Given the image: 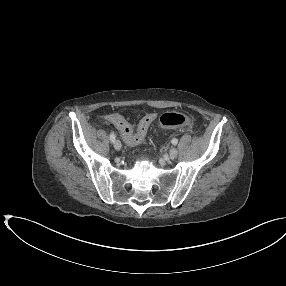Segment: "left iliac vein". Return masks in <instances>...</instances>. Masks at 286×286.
<instances>
[{"mask_svg":"<svg viewBox=\"0 0 286 286\" xmlns=\"http://www.w3.org/2000/svg\"><path fill=\"white\" fill-rule=\"evenodd\" d=\"M177 154H178V150H177L175 147H173V148L170 149V151H169V157H170L171 159L176 158V157H177Z\"/></svg>","mask_w":286,"mask_h":286,"instance_id":"obj_1","label":"left iliac vein"}]
</instances>
